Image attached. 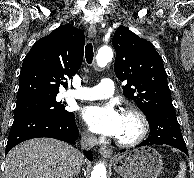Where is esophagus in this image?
Returning <instances> with one entry per match:
<instances>
[{"label":"esophagus","instance_id":"obj_1","mask_svg":"<svg viewBox=\"0 0 194 178\" xmlns=\"http://www.w3.org/2000/svg\"><path fill=\"white\" fill-rule=\"evenodd\" d=\"M96 32L95 25L91 24L88 29V36L90 38H94L96 36ZM98 151L104 157L110 158L112 156V150L108 146H101Z\"/></svg>","mask_w":194,"mask_h":178}]
</instances>
